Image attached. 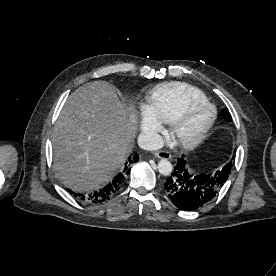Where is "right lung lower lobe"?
Returning a JSON list of instances; mask_svg holds the SVG:
<instances>
[{
	"instance_id": "obj_1",
	"label": "right lung lower lobe",
	"mask_w": 276,
	"mask_h": 276,
	"mask_svg": "<svg viewBox=\"0 0 276 276\" xmlns=\"http://www.w3.org/2000/svg\"><path fill=\"white\" fill-rule=\"evenodd\" d=\"M139 160V155L134 153V155H131L127 162L125 163V166L120 170V172L112 179L111 182H109L106 186L103 188L84 195V194H76L69 190V192L73 193L78 199L82 201H86L89 203H101L105 201L106 199H109V197L113 196L124 184L125 179L127 175L130 172V166L133 163H136Z\"/></svg>"
}]
</instances>
